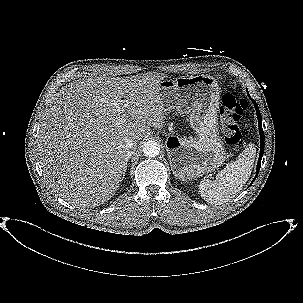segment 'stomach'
Wrapping results in <instances>:
<instances>
[{"label": "stomach", "mask_w": 303, "mask_h": 303, "mask_svg": "<svg viewBox=\"0 0 303 303\" xmlns=\"http://www.w3.org/2000/svg\"><path fill=\"white\" fill-rule=\"evenodd\" d=\"M158 93L166 111L175 109L188 114L189 125L196 133L194 138L168 140L174 175L190 179L218 169L226 153L219 137L220 88L216 79L207 74L164 79L158 85Z\"/></svg>", "instance_id": "obj_1"}]
</instances>
